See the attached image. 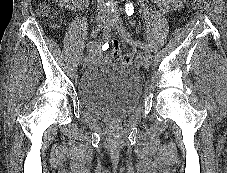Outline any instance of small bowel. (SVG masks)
Wrapping results in <instances>:
<instances>
[{
  "instance_id": "c3829d8e",
  "label": "small bowel",
  "mask_w": 227,
  "mask_h": 173,
  "mask_svg": "<svg viewBox=\"0 0 227 173\" xmlns=\"http://www.w3.org/2000/svg\"><path fill=\"white\" fill-rule=\"evenodd\" d=\"M183 0H154V2L162 9L174 10L177 9ZM91 61H97L99 59V53L96 50H91L90 53Z\"/></svg>"
}]
</instances>
